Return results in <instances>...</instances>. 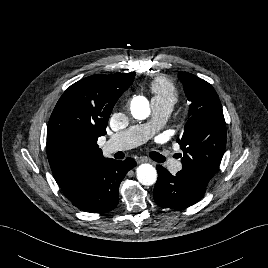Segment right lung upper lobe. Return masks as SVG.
<instances>
[{
  "instance_id": "obj_1",
  "label": "right lung upper lobe",
  "mask_w": 268,
  "mask_h": 268,
  "mask_svg": "<svg viewBox=\"0 0 268 268\" xmlns=\"http://www.w3.org/2000/svg\"><path fill=\"white\" fill-rule=\"evenodd\" d=\"M135 74L89 76L67 88L56 104L48 123L47 156L57 184L69 199L78 194L91 171L106 160L98 148V137L106 134L111 111ZM61 139L76 142L84 157L70 164L55 158L53 148Z\"/></svg>"
}]
</instances>
